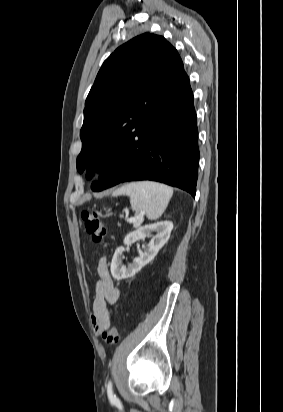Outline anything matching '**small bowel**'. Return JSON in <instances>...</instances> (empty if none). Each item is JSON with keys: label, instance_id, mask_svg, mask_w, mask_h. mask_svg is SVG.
Masks as SVG:
<instances>
[{"label": "small bowel", "instance_id": "c3829d8e", "mask_svg": "<svg viewBox=\"0 0 283 412\" xmlns=\"http://www.w3.org/2000/svg\"><path fill=\"white\" fill-rule=\"evenodd\" d=\"M99 279L96 283V295L92 305L91 322L94 331L100 334L110 323L109 304H114L119 298V290L114 285L106 262L101 260L98 265Z\"/></svg>", "mask_w": 283, "mask_h": 412}]
</instances>
